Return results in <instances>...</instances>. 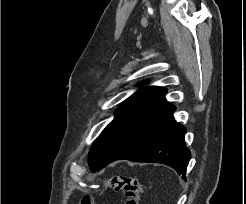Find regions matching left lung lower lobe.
<instances>
[{"instance_id": "1", "label": "left lung lower lobe", "mask_w": 246, "mask_h": 204, "mask_svg": "<svg viewBox=\"0 0 246 204\" xmlns=\"http://www.w3.org/2000/svg\"><path fill=\"white\" fill-rule=\"evenodd\" d=\"M165 93L161 89L100 134L89 152L92 172L115 160L127 159L171 166L186 180L185 171L191 157L185 146L186 129L174 120L175 107L166 101Z\"/></svg>"}]
</instances>
